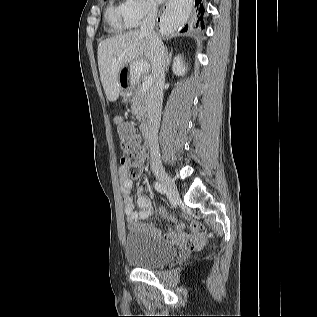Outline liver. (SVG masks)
<instances>
[{"label":"liver","instance_id":"obj_1","mask_svg":"<svg viewBox=\"0 0 317 317\" xmlns=\"http://www.w3.org/2000/svg\"><path fill=\"white\" fill-rule=\"evenodd\" d=\"M97 55L101 83L110 102L116 101L119 97L121 91L119 73L122 68L130 63H136L137 70L144 72L150 69L153 62L152 44L138 30L101 41L98 45ZM142 62L146 66L141 71L138 65Z\"/></svg>","mask_w":317,"mask_h":317}]
</instances>
